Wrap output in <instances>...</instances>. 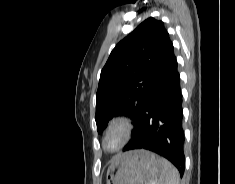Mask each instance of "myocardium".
I'll return each instance as SVG.
<instances>
[{
    "label": "myocardium",
    "mask_w": 235,
    "mask_h": 184,
    "mask_svg": "<svg viewBox=\"0 0 235 184\" xmlns=\"http://www.w3.org/2000/svg\"><path fill=\"white\" fill-rule=\"evenodd\" d=\"M135 130V122L132 117L126 114H119L114 116L106 128L104 129L101 138H100V147L101 149L110 155H115L119 153L125 145L129 142V140L132 138ZM116 132L119 136V142L117 147L113 151H107L104 148V140L106 136L111 133Z\"/></svg>",
    "instance_id": "f54148a6"
}]
</instances>
